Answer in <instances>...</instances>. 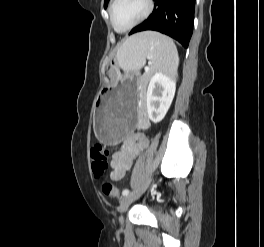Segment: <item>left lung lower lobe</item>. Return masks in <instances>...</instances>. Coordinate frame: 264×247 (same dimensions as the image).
<instances>
[{
    "label": "left lung lower lobe",
    "instance_id": "obj_1",
    "mask_svg": "<svg viewBox=\"0 0 264 247\" xmlns=\"http://www.w3.org/2000/svg\"><path fill=\"white\" fill-rule=\"evenodd\" d=\"M152 14L129 35L154 30L177 40L187 48L193 33L195 0H154Z\"/></svg>",
    "mask_w": 264,
    "mask_h": 247
}]
</instances>
